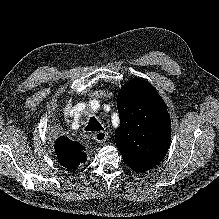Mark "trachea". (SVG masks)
Listing matches in <instances>:
<instances>
[{
    "instance_id": "obj_1",
    "label": "trachea",
    "mask_w": 219,
    "mask_h": 219,
    "mask_svg": "<svg viewBox=\"0 0 219 219\" xmlns=\"http://www.w3.org/2000/svg\"><path fill=\"white\" fill-rule=\"evenodd\" d=\"M84 130L90 131V132H95V131L103 130V127L95 117H91L89 119L88 125L85 127Z\"/></svg>"
}]
</instances>
